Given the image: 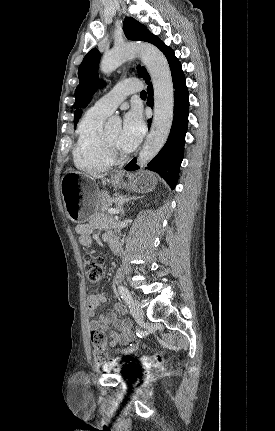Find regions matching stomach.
I'll return each instance as SVG.
<instances>
[{"label":"stomach","instance_id":"obj_1","mask_svg":"<svg viewBox=\"0 0 275 431\" xmlns=\"http://www.w3.org/2000/svg\"><path fill=\"white\" fill-rule=\"evenodd\" d=\"M90 177L75 172L66 173L61 179V194L68 218L75 223L88 221L98 207L96 190L88 186ZM111 183L115 187L123 186L122 174L113 175ZM157 178L152 173H143L134 188L148 191L155 187Z\"/></svg>","mask_w":275,"mask_h":431}]
</instances>
